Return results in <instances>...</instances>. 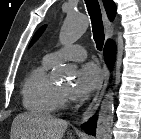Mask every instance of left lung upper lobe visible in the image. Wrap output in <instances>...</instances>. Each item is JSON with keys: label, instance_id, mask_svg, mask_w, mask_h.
<instances>
[{"label": "left lung upper lobe", "instance_id": "left-lung-upper-lobe-1", "mask_svg": "<svg viewBox=\"0 0 141 139\" xmlns=\"http://www.w3.org/2000/svg\"><path fill=\"white\" fill-rule=\"evenodd\" d=\"M46 26H42L37 32L36 34L34 35L32 41H31V44L36 41L38 39V37L42 34V32L44 31Z\"/></svg>", "mask_w": 141, "mask_h": 139}]
</instances>
